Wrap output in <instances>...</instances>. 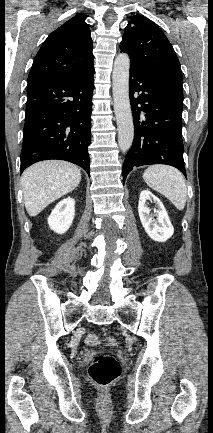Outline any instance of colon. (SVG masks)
<instances>
[{"label":"colon","instance_id":"5ec220e1","mask_svg":"<svg viewBox=\"0 0 213 433\" xmlns=\"http://www.w3.org/2000/svg\"><path fill=\"white\" fill-rule=\"evenodd\" d=\"M106 346L114 347L117 340L109 336L105 339ZM89 377L100 388H107L112 385L121 374L119 361L110 355L96 356L88 369Z\"/></svg>","mask_w":213,"mask_h":433}]
</instances>
